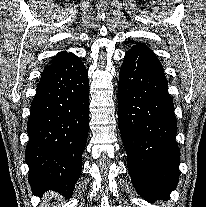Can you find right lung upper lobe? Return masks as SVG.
I'll use <instances>...</instances> for the list:
<instances>
[{
    "mask_svg": "<svg viewBox=\"0 0 206 207\" xmlns=\"http://www.w3.org/2000/svg\"><path fill=\"white\" fill-rule=\"evenodd\" d=\"M73 55L74 54H72V53H67V52H64V51L60 52L53 58V60L51 61V63L49 65L58 63V62L64 60L65 58L71 57Z\"/></svg>",
    "mask_w": 206,
    "mask_h": 207,
    "instance_id": "cb5924a9",
    "label": "right lung upper lobe"
}]
</instances>
